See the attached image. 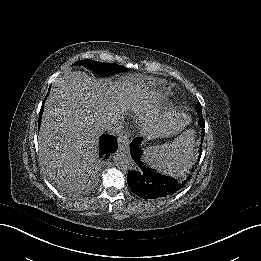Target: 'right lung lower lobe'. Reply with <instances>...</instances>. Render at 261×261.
Instances as JSON below:
<instances>
[{"mask_svg": "<svg viewBox=\"0 0 261 261\" xmlns=\"http://www.w3.org/2000/svg\"><path fill=\"white\" fill-rule=\"evenodd\" d=\"M49 94V92L47 93ZM43 112V105L40 110L39 118L41 119V115ZM39 119V122H40ZM117 138L112 135H102L100 138V144H99V156L105 160L108 158L110 153H113L117 149Z\"/></svg>", "mask_w": 261, "mask_h": 261, "instance_id": "obj_1", "label": "right lung lower lobe"}]
</instances>
